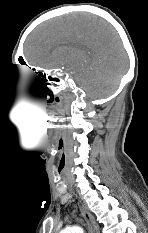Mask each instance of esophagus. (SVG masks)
<instances>
[{
    "instance_id": "1",
    "label": "esophagus",
    "mask_w": 148,
    "mask_h": 233,
    "mask_svg": "<svg viewBox=\"0 0 148 233\" xmlns=\"http://www.w3.org/2000/svg\"><path fill=\"white\" fill-rule=\"evenodd\" d=\"M82 214L88 224L89 233H100L98 224L94 216L89 212V210L83 203H82Z\"/></svg>"
}]
</instances>
